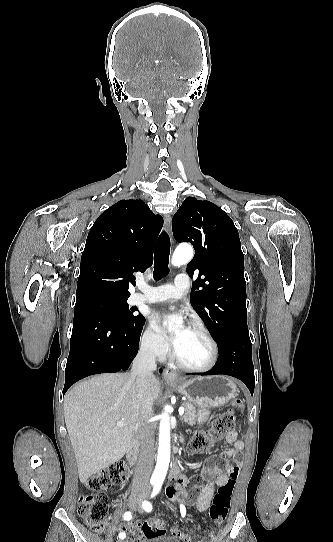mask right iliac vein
<instances>
[{
    "label": "right iliac vein",
    "instance_id": "obj_1",
    "mask_svg": "<svg viewBox=\"0 0 333 542\" xmlns=\"http://www.w3.org/2000/svg\"><path fill=\"white\" fill-rule=\"evenodd\" d=\"M143 497H144V496H143ZM137 506H138L137 501H131V502L129 503V507H130L132 510L135 509Z\"/></svg>",
    "mask_w": 333,
    "mask_h": 542
}]
</instances>
